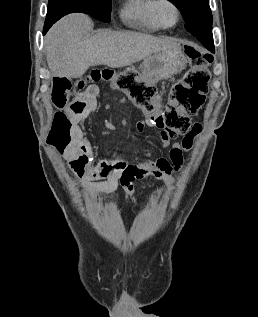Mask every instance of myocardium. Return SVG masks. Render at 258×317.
<instances>
[{
    "label": "myocardium",
    "instance_id": "obj_1",
    "mask_svg": "<svg viewBox=\"0 0 258 317\" xmlns=\"http://www.w3.org/2000/svg\"><path fill=\"white\" fill-rule=\"evenodd\" d=\"M166 5H170L173 7L174 12H175V17L173 19L172 22H165L164 20H162V18L160 17V10L162 7L166 6ZM154 18L157 22V24L161 27V28H170L173 27L179 20V8L177 6L176 3H174L171 0H158L155 6V10H154Z\"/></svg>",
    "mask_w": 258,
    "mask_h": 317
}]
</instances>
